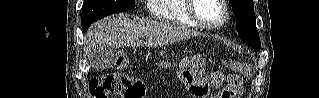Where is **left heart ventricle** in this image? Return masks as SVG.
Here are the masks:
<instances>
[{"label": "left heart ventricle", "mask_w": 319, "mask_h": 98, "mask_svg": "<svg viewBox=\"0 0 319 98\" xmlns=\"http://www.w3.org/2000/svg\"><path fill=\"white\" fill-rule=\"evenodd\" d=\"M195 11L201 19L210 24L219 23L224 15V10L217 0H197Z\"/></svg>", "instance_id": "b2bd125f"}]
</instances>
